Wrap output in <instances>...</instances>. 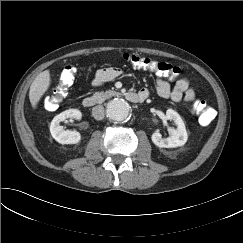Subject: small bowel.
<instances>
[{
	"mask_svg": "<svg viewBox=\"0 0 243 243\" xmlns=\"http://www.w3.org/2000/svg\"><path fill=\"white\" fill-rule=\"evenodd\" d=\"M122 74L119 68L108 67L97 71L94 79V86H101L109 81L118 78ZM156 91L161 98H170L174 102H192L195 99V91L186 78H181L176 81L174 87H171L169 81L162 77L156 79ZM139 94L149 96L148 89H141Z\"/></svg>",
	"mask_w": 243,
	"mask_h": 243,
	"instance_id": "obj_1",
	"label": "small bowel"
}]
</instances>
